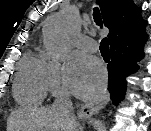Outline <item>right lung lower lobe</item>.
<instances>
[{"mask_svg": "<svg viewBox=\"0 0 151 131\" xmlns=\"http://www.w3.org/2000/svg\"><path fill=\"white\" fill-rule=\"evenodd\" d=\"M111 62L109 70V90L113 104L117 105L126 92V77L137 69L136 61L143 57L142 47L133 45L115 46L110 48Z\"/></svg>", "mask_w": 151, "mask_h": 131, "instance_id": "right-lung-lower-lobe-1", "label": "right lung lower lobe"}]
</instances>
